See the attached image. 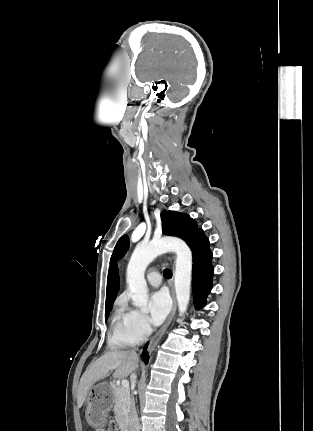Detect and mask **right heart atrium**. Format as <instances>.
I'll use <instances>...</instances> for the list:
<instances>
[{
  "label": "right heart atrium",
  "mask_w": 313,
  "mask_h": 431,
  "mask_svg": "<svg viewBox=\"0 0 313 431\" xmlns=\"http://www.w3.org/2000/svg\"><path fill=\"white\" fill-rule=\"evenodd\" d=\"M129 326L134 335L140 340L147 337L151 330L147 317L135 310H131L130 312Z\"/></svg>",
  "instance_id": "right-heart-atrium-1"
}]
</instances>
